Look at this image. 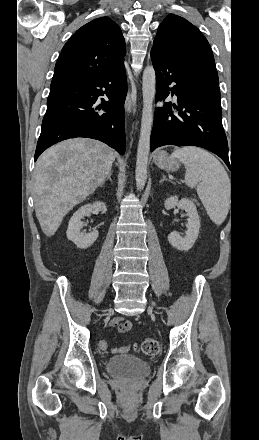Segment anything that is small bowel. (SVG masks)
I'll list each match as a JSON object with an SVG mask.
<instances>
[{
  "label": "small bowel",
  "mask_w": 259,
  "mask_h": 440,
  "mask_svg": "<svg viewBox=\"0 0 259 440\" xmlns=\"http://www.w3.org/2000/svg\"><path fill=\"white\" fill-rule=\"evenodd\" d=\"M112 326L116 327L120 332H126L131 329L132 322L128 321V320H124L121 317H117L112 320ZM99 346L102 350H106L108 348V345L105 341H101ZM127 349H128L127 347H121V348L115 349L114 351L115 352H124Z\"/></svg>",
  "instance_id": "c3829d8e"
}]
</instances>
